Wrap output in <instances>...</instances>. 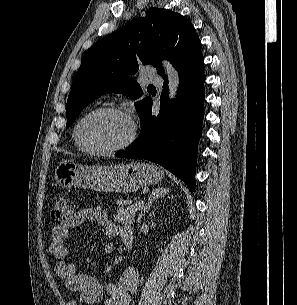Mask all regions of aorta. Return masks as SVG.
<instances>
[{
  "label": "aorta",
  "instance_id": "aorta-1",
  "mask_svg": "<svg viewBox=\"0 0 297 305\" xmlns=\"http://www.w3.org/2000/svg\"><path fill=\"white\" fill-rule=\"evenodd\" d=\"M162 64L165 69V73L168 77L169 98L170 100H174L179 90V84H180L179 74L176 71V69L172 66V64L167 60H164Z\"/></svg>",
  "mask_w": 297,
  "mask_h": 305
}]
</instances>
